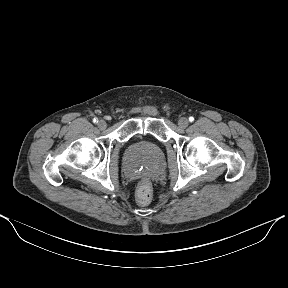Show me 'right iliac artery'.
<instances>
[{
	"mask_svg": "<svg viewBox=\"0 0 288 288\" xmlns=\"http://www.w3.org/2000/svg\"><path fill=\"white\" fill-rule=\"evenodd\" d=\"M93 122H94V123H97V122H98V119H97V118H94V119H93Z\"/></svg>",
	"mask_w": 288,
	"mask_h": 288,
	"instance_id": "82829eb1",
	"label": "right iliac artery"
}]
</instances>
